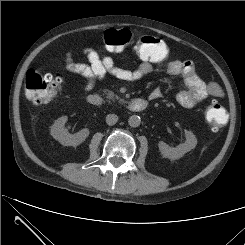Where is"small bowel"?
I'll use <instances>...</instances> for the list:
<instances>
[{"instance_id":"small-bowel-1","label":"small bowel","mask_w":245,"mask_h":245,"mask_svg":"<svg viewBox=\"0 0 245 245\" xmlns=\"http://www.w3.org/2000/svg\"><path fill=\"white\" fill-rule=\"evenodd\" d=\"M84 55L88 64L74 62L72 53L67 52L66 68L68 71L85 78L84 89L86 91L91 90L95 83L106 74H111L123 81L134 82L143 79L156 69L155 65L149 62H141L137 67H131L128 64L116 66L111 57L100 55L92 48H86ZM163 68L172 76L182 77L185 83V89L179 91L175 96L176 102L181 106L191 108L207 97L221 95L218 85L207 83L199 77L192 61L171 60ZM160 95V90L156 89L151 92L150 98L157 99Z\"/></svg>"}]
</instances>
